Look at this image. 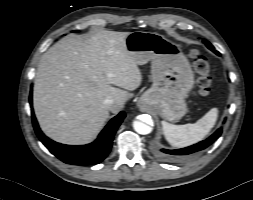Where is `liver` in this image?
Returning <instances> with one entry per match:
<instances>
[{
	"label": "liver",
	"instance_id": "6515ba94",
	"mask_svg": "<svg viewBox=\"0 0 253 200\" xmlns=\"http://www.w3.org/2000/svg\"><path fill=\"white\" fill-rule=\"evenodd\" d=\"M129 34L101 30L88 40L68 37L43 54L34 80L33 105L47 136L65 144L89 143L109 111L123 108L125 90L133 91L142 82L126 48ZM108 97L114 99L111 109L103 104Z\"/></svg>",
	"mask_w": 253,
	"mask_h": 200
}]
</instances>
